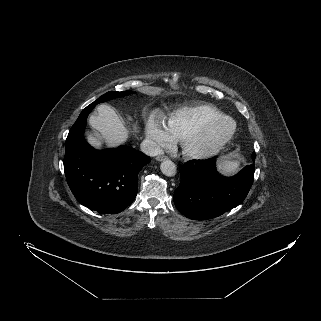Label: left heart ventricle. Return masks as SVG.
<instances>
[{"label": "left heart ventricle", "instance_id": "b2bd125f", "mask_svg": "<svg viewBox=\"0 0 321 321\" xmlns=\"http://www.w3.org/2000/svg\"><path fill=\"white\" fill-rule=\"evenodd\" d=\"M227 128L228 126L226 124L214 127L206 135H204L201 139L197 141L196 146L200 148L210 146L227 131Z\"/></svg>", "mask_w": 321, "mask_h": 321}]
</instances>
